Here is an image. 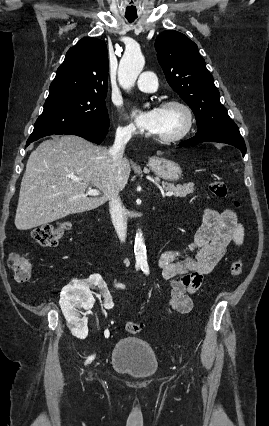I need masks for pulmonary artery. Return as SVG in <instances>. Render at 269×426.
Wrapping results in <instances>:
<instances>
[{"label":"pulmonary artery","instance_id":"pulmonary-artery-1","mask_svg":"<svg viewBox=\"0 0 269 426\" xmlns=\"http://www.w3.org/2000/svg\"><path fill=\"white\" fill-rule=\"evenodd\" d=\"M136 86L144 92H154L157 89V77L151 71H145L140 74L136 81Z\"/></svg>","mask_w":269,"mask_h":426}]
</instances>
